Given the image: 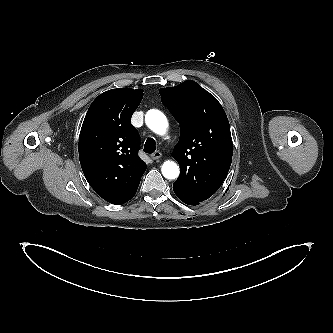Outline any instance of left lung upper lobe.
<instances>
[{
  "label": "left lung upper lobe",
  "mask_w": 333,
  "mask_h": 333,
  "mask_svg": "<svg viewBox=\"0 0 333 333\" xmlns=\"http://www.w3.org/2000/svg\"><path fill=\"white\" fill-rule=\"evenodd\" d=\"M159 92L180 124V140L172 156L181 171L173 187L202 202L220 188L231 165L233 146L226 113L194 81Z\"/></svg>",
  "instance_id": "left-lung-upper-lobe-1"
}]
</instances>
